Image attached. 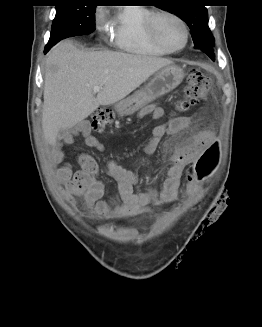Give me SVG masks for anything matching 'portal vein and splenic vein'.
<instances>
[{
  "instance_id": "obj_1",
  "label": "portal vein and splenic vein",
  "mask_w": 262,
  "mask_h": 327,
  "mask_svg": "<svg viewBox=\"0 0 262 327\" xmlns=\"http://www.w3.org/2000/svg\"><path fill=\"white\" fill-rule=\"evenodd\" d=\"M102 89V87L101 86H94L93 87V91L96 93V92H99L100 90Z\"/></svg>"
}]
</instances>
